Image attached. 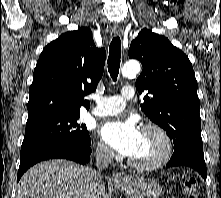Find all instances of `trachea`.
<instances>
[{
    "instance_id": "trachea-1",
    "label": "trachea",
    "mask_w": 221,
    "mask_h": 198,
    "mask_svg": "<svg viewBox=\"0 0 221 198\" xmlns=\"http://www.w3.org/2000/svg\"><path fill=\"white\" fill-rule=\"evenodd\" d=\"M121 59V40L116 36L112 39L109 47L108 71L113 79L117 80Z\"/></svg>"
}]
</instances>
